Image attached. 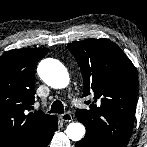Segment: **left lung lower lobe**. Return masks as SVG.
<instances>
[{"label":"left lung lower lobe","mask_w":147,"mask_h":147,"mask_svg":"<svg viewBox=\"0 0 147 147\" xmlns=\"http://www.w3.org/2000/svg\"><path fill=\"white\" fill-rule=\"evenodd\" d=\"M76 147H108L103 142H100L93 135L87 134L85 137L76 143Z\"/></svg>","instance_id":"0a47b994"}]
</instances>
